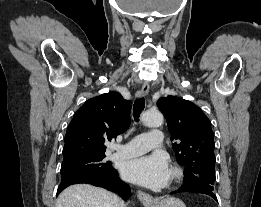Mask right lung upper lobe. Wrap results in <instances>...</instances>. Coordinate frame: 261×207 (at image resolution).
<instances>
[{"instance_id": "obj_1", "label": "right lung upper lobe", "mask_w": 261, "mask_h": 207, "mask_svg": "<svg viewBox=\"0 0 261 207\" xmlns=\"http://www.w3.org/2000/svg\"><path fill=\"white\" fill-rule=\"evenodd\" d=\"M131 102L118 92L87 100L74 114L65 135L63 161L81 156L102 155L105 141L128 129Z\"/></svg>"}]
</instances>
